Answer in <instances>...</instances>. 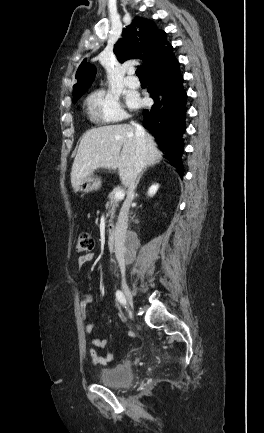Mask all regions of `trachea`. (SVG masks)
Here are the masks:
<instances>
[{"label":"trachea","mask_w":264,"mask_h":433,"mask_svg":"<svg viewBox=\"0 0 264 433\" xmlns=\"http://www.w3.org/2000/svg\"><path fill=\"white\" fill-rule=\"evenodd\" d=\"M136 75H137L139 78H144V76H143V74L141 73V70H140V69H137V70H136Z\"/></svg>","instance_id":"trachea-1"}]
</instances>
